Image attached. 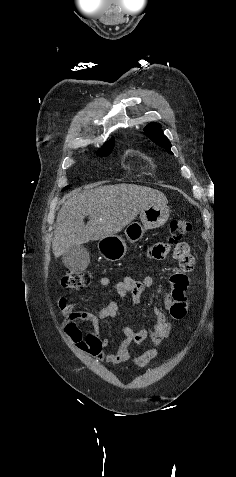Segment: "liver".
<instances>
[{
    "instance_id": "liver-1",
    "label": "liver",
    "mask_w": 236,
    "mask_h": 477,
    "mask_svg": "<svg viewBox=\"0 0 236 477\" xmlns=\"http://www.w3.org/2000/svg\"><path fill=\"white\" fill-rule=\"evenodd\" d=\"M167 203L162 192L133 184L74 191L59 210L52 239L53 254L57 258L74 245L113 236L142 210ZM85 216L90 217L87 225L84 224Z\"/></svg>"
}]
</instances>
